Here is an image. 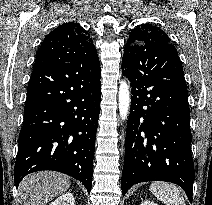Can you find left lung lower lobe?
<instances>
[{
  "mask_svg": "<svg viewBox=\"0 0 212 205\" xmlns=\"http://www.w3.org/2000/svg\"><path fill=\"white\" fill-rule=\"evenodd\" d=\"M122 72L132 88L123 195L139 182L167 181L181 186L192 202L190 109L176 48L159 41L133 44L123 55Z\"/></svg>",
  "mask_w": 212,
  "mask_h": 205,
  "instance_id": "1",
  "label": "left lung lower lobe"
}]
</instances>
